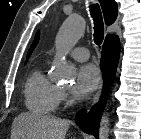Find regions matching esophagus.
<instances>
[{"label":"esophagus","instance_id":"esophagus-1","mask_svg":"<svg viewBox=\"0 0 141 139\" xmlns=\"http://www.w3.org/2000/svg\"><path fill=\"white\" fill-rule=\"evenodd\" d=\"M102 94V83L100 84L94 98H93V101H92V105H94L95 103H97L100 99V96Z\"/></svg>","mask_w":141,"mask_h":139}]
</instances>
